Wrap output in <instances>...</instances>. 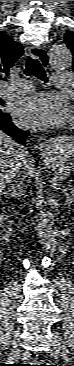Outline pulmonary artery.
<instances>
[{"label": "pulmonary artery", "instance_id": "e3ab8cb5", "mask_svg": "<svg viewBox=\"0 0 74 366\" xmlns=\"http://www.w3.org/2000/svg\"><path fill=\"white\" fill-rule=\"evenodd\" d=\"M54 87L58 89H64L69 87L72 80V75L64 70H57L53 73ZM33 86L31 82L25 80H16L10 82L4 89V93L7 95L18 96L29 93L32 91Z\"/></svg>", "mask_w": 74, "mask_h": 366}]
</instances>
